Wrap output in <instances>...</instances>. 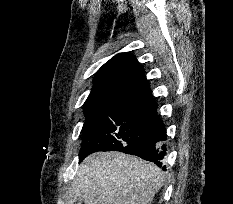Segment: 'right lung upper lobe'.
Here are the masks:
<instances>
[{
    "instance_id": "obj_1",
    "label": "right lung upper lobe",
    "mask_w": 233,
    "mask_h": 204,
    "mask_svg": "<svg viewBox=\"0 0 233 204\" xmlns=\"http://www.w3.org/2000/svg\"><path fill=\"white\" fill-rule=\"evenodd\" d=\"M144 101L153 102L144 69L132 54L119 53L96 73L84 113L88 116L114 104Z\"/></svg>"
}]
</instances>
